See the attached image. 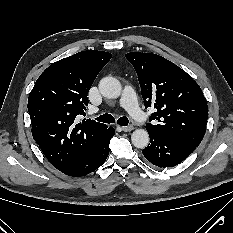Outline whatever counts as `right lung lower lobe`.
Listing matches in <instances>:
<instances>
[{"label":"right lung lower lobe","mask_w":233,"mask_h":233,"mask_svg":"<svg viewBox=\"0 0 233 233\" xmlns=\"http://www.w3.org/2000/svg\"><path fill=\"white\" fill-rule=\"evenodd\" d=\"M114 134L115 130L110 127V131L103 141L91 153L78 161L59 169V171L69 176L79 177L87 175L99 168L105 162L109 154V143Z\"/></svg>","instance_id":"98d812e1"}]
</instances>
